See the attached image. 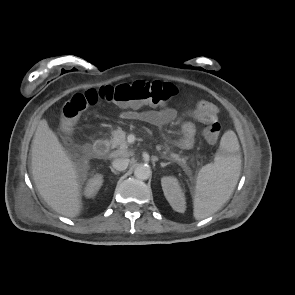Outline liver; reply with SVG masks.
I'll return each instance as SVG.
<instances>
[{
    "label": "liver",
    "mask_w": 295,
    "mask_h": 295,
    "mask_svg": "<svg viewBox=\"0 0 295 295\" xmlns=\"http://www.w3.org/2000/svg\"><path fill=\"white\" fill-rule=\"evenodd\" d=\"M31 169L39 194L52 209L70 218L80 214L83 203L76 164L45 119L33 137Z\"/></svg>",
    "instance_id": "obj_1"
}]
</instances>
